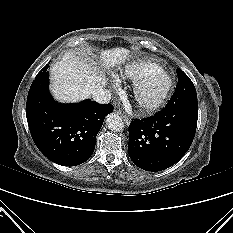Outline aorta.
I'll use <instances>...</instances> for the list:
<instances>
[{"label":"aorta","mask_w":233,"mask_h":233,"mask_svg":"<svg viewBox=\"0 0 233 233\" xmlns=\"http://www.w3.org/2000/svg\"><path fill=\"white\" fill-rule=\"evenodd\" d=\"M106 124L108 128L112 131H122L124 128V123L120 116L115 113H110L106 117Z\"/></svg>","instance_id":"aorta-1"}]
</instances>
